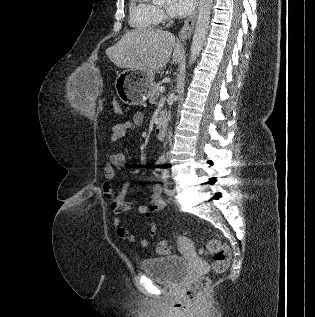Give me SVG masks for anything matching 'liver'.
I'll list each match as a JSON object with an SVG mask.
<instances>
[{
  "instance_id": "obj_1",
  "label": "liver",
  "mask_w": 315,
  "mask_h": 317,
  "mask_svg": "<svg viewBox=\"0 0 315 317\" xmlns=\"http://www.w3.org/2000/svg\"><path fill=\"white\" fill-rule=\"evenodd\" d=\"M106 55L119 68L156 72L164 67L172 56V64L184 59L182 45L175 36L161 29H136L125 33Z\"/></svg>"
}]
</instances>
